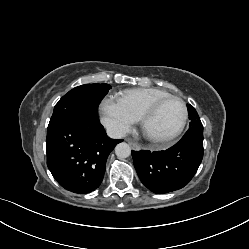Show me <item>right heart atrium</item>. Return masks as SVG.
Listing matches in <instances>:
<instances>
[{
    "label": "right heart atrium",
    "instance_id": "right-heart-atrium-1",
    "mask_svg": "<svg viewBox=\"0 0 249 249\" xmlns=\"http://www.w3.org/2000/svg\"><path fill=\"white\" fill-rule=\"evenodd\" d=\"M99 112L104 126L115 136L122 137L129 133L138 121L119 99L112 96L105 97L100 105Z\"/></svg>",
    "mask_w": 249,
    "mask_h": 249
}]
</instances>
